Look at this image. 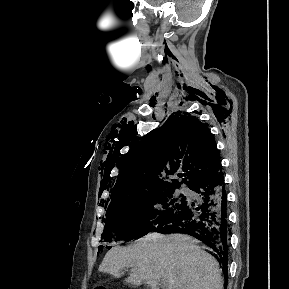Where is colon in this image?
<instances>
[{"instance_id": "colon-1", "label": "colon", "mask_w": 289, "mask_h": 289, "mask_svg": "<svg viewBox=\"0 0 289 289\" xmlns=\"http://www.w3.org/2000/svg\"><path fill=\"white\" fill-rule=\"evenodd\" d=\"M95 289H103L102 287H96Z\"/></svg>"}]
</instances>
